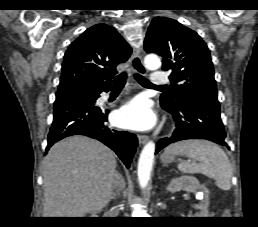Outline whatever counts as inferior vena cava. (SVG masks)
Listing matches in <instances>:
<instances>
[{"mask_svg":"<svg viewBox=\"0 0 258 227\" xmlns=\"http://www.w3.org/2000/svg\"><path fill=\"white\" fill-rule=\"evenodd\" d=\"M124 186L125 185H122L121 183L118 184V187L121 188V189L124 188Z\"/></svg>","mask_w":258,"mask_h":227,"instance_id":"1","label":"inferior vena cava"}]
</instances>
